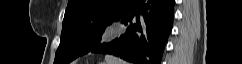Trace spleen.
Listing matches in <instances>:
<instances>
[{
	"mask_svg": "<svg viewBox=\"0 0 242 64\" xmlns=\"http://www.w3.org/2000/svg\"><path fill=\"white\" fill-rule=\"evenodd\" d=\"M105 60L107 64H127L125 61L111 55H106Z\"/></svg>",
	"mask_w": 242,
	"mask_h": 64,
	"instance_id": "1",
	"label": "spleen"
}]
</instances>
